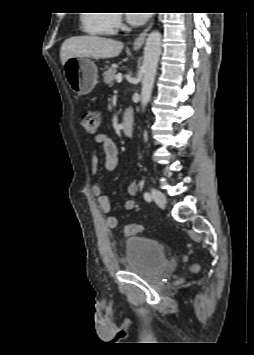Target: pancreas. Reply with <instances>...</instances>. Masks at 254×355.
<instances>
[{"instance_id": "cf45deb5", "label": "pancreas", "mask_w": 254, "mask_h": 355, "mask_svg": "<svg viewBox=\"0 0 254 355\" xmlns=\"http://www.w3.org/2000/svg\"><path fill=\"white\" fill-rule=\"evenodd\" d=\"M116 68L111 67L103 73L104 83L107 85H112L116 78Z\"/></svg>"}]
</instances>
